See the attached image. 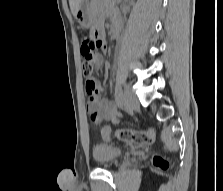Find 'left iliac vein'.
Listing matches in <instances>:
<instances>
[{
  "label": "left iliac vein",
  "mask_w": 223,
  "mask_h": 191,
  "mask_svg": "<svg viewBox=\"0 0 223 191\" xmlns=\"http://www.w3.org/2000/svg\"><path fill=\"white\" fill-rule=\"evenodd\" d=\"M122 100L124 103V106L129 110V111H134L139 108V101L138 98L134 93H132L129 89H125Z\"/></svg>",
  "instance_id": "obj_1"
}]
</instances>
